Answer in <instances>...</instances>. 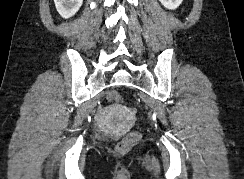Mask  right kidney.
I'll return each instance as SVG.
<instances>
[{"instance_id":"right-kidney-1","label":"right kidney","mask_w":244,"mask_h":179,"mask_svg":"<svg viewBox=\"0 0 244 179\" xmlns=\"http://www.w3.org/2000/svg\"><path fill=\"white\" fill-rule=\"evenodd\" d=\"M83 0H54L57 12L62 18H72L82 6Z\"/></svg>"}]
</instances>
